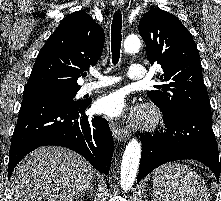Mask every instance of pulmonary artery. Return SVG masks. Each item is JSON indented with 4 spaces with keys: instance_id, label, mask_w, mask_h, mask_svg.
Wrapping results in <instances>:
<instances>
[{
    "instance_id": "pulmonary-artery-1",
    "label": "pulmonary artery",
    "mask_w": 221,
    "mask_h": 201,
    "mask_svg": "<svg viewBox=\"0 0 221 201\" xmlns=\"http://www.w3.org/2000/svg\"><path fill=\"white\" fill-rule=\"evenodd\" d=\"M94 75L98 78V80L96 82L85 84L81 89L82 93H88L96 89L115 84L119 81V78L116 77L106 76L99 73H95ZM128 77L131 80L144 79L146 77V70L141 64H132L128 71Z\"/></svg>"
}]
</instances>
